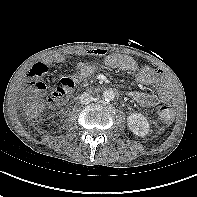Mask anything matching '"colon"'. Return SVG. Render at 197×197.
<instances>
[{
  "label": "colon",
  "instance_id": "5ec220e1",
  "mask_svg": "<svg viewBox=\"0 0 197 197\" xmlns=\"http://www.w3.org/2000/svg\"><path fill=\"white\" fill-rule=\"evenodd\" d=\"M75 82L72 78L61 79L59 85L49 99L53 106L60 105L66 95L74 88ZM46 91V85L41 81H35L31 84V90L27 93L23 108L27 116L36 118L41 112L43 105V94ZM159 118L164 122H170L174 117V110L167 105L161 106L158 110Z\"/></svg>",
  "mask_w": 197,
  "mask_h": 197
}]
</instances>
